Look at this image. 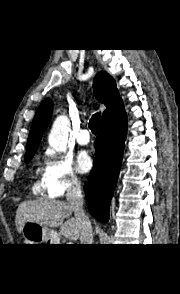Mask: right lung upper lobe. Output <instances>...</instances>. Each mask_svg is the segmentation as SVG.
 <instances>
[{
	"label": "right lung upper lobe",
	"mask_w": 180,
	"mask_h": 294,
	"mask_svg": "<svg viewBox=\"0 0 180 294\" xmlns=\"http://www.w3.org/2000/svg\"><path fill=\"white\" fill-rule=\"evenodd\" d=\"M93 88L96 99L104 103L107 107L103 115L122 102L116 88L115 80L106 72L101 71L95 76ZM52 109L53 102L50 98L43 101L38 108L30 129L25 159L33 157L36 152L42 135L50 122Z\"/></svg>",
	"instance_id": "right-lung-upper-lobe-1"
}]
</instances>
